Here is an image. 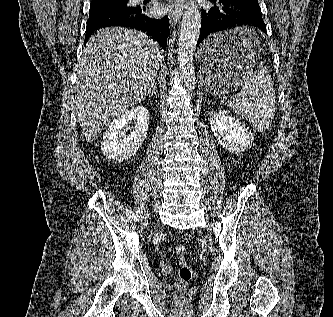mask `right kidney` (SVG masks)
<instances>
[{
  "mask_svg": "<svg viewBox=\"0 0 333 317\" xmlns=\"http://www.w3.org/2000/svg\"><path fill=\"white\" fill-rule=\"evenodd\" d=\"M136 121L133 132L126 134L123 127ZM149 111L144 106L133 107L116 117L103 135L101 150L103 154L116 161L131 158L143 144L147 136Z\"/></svg>",
  "mask_w": 333,
  "mask_h": 317,
  "instance_id": "1",
  "label": "right kidney"
}]
</instances>
